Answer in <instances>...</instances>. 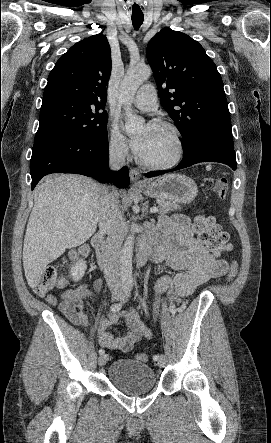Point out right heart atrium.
I'll return each mask as SVG.
<instances>
[{
	"label": "right heart atrium",
	"instance_id": "d8ad5b80",
	"mask_svg": "<svg viewBox=\"0 0 271 443\" xmlns=\"http://www.w3.org/2000/svg\"><path fill=\"white\" fill-rule=\"evenodd\" d=\"M108 149L115 156H125L128 153V140L121 133L116 121H110L107 127Z\"/></svg>",
	"mask_w": 271,
	"mask_h": 443
}]
</instances>
